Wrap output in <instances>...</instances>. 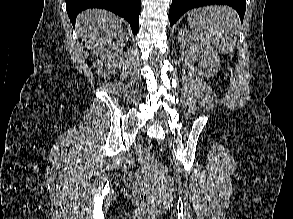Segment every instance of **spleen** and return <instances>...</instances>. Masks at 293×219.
<instances>
[{
  "label": "spleen",
  "mask_w": 293,
  "mask_h": 219,
  "mask_svg": "<svg viewBox=\"0 0 293 219\" xmlns=\"http://www.w3.org/2000/svg\"><path fill=\"white\" fill-rule=\"evenodd\" d=\"M187 21L193 34L201 41L214 45L220 52L231 54L238 35L239 20L227 6H208L188 13Z\"/></svg>",
  "instance_id": "obj_1"
}]
</instances>
